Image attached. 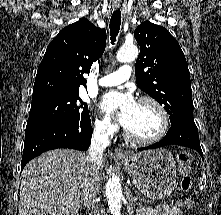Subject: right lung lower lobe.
Returning <instances> with one entry per match:
<instances>
[{
	"label": "right lung lower lobe",
	"mask_w": 221,
	"mask_h": 215,
	"mask_svg": "<svg viewBox=\"0 0 221 215\" xmlns=\"http://www.w3.org/2000/svg\"><path fill=\"white\" fill-rule=\"evenodd\" d=\"M91 137V121L77 128L53 124L26 129L21 170L31 159L48 150L71 148L85 151L91 144Z\"/></svg>",
	"instance_id": "1"
}]
</instances>
